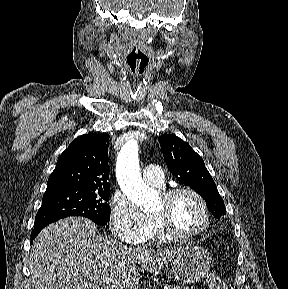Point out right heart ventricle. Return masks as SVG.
Here are the masks:
<instances>
[{
    "label": "right heart ventricle",
    "mask_w": 288,
    "mask_h": 289,
    "mask_svg": "<svg viewBox=\"0 0 288 289\" xmlns=\"http://www.w3.org/2000/svg\"><path fill=\"white\" fill-rule=\"evenodd\" d=\"M150 220H151V231H150L148 238L145 240V242H152L154 240H158L162 242L167 241L168 238L160 232L154 219L150 218Z\"/></svg>",
    "instance_id": "right-heart-ventricle-1"
}]
</instances>
